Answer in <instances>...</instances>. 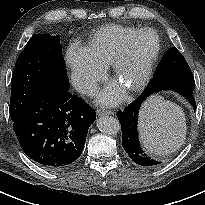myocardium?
<instances>
[{
    "label": "myocardium",
    "instance_id": "1",
    "mask_svg": "<svg viewBox=\"0 0 205 205\" xmlns=\"http://www.w3.org/2000/svg\"><path fill=\"white\" fill-rule=\"evenodd\" d=\"M147 33L153 34L155 36L156 47L154 51L152 52V54L142 64V72L138 80L126 87V90L131 91V92H135V91H139L143 89L150 81L153 67L161 51V41H160L159 35L154 29H151V28H145V29L138 30L135 34H133L128 39L124 49L120 52V54L115 58V60L112 63L113 75H114V78L117 79L120 77L125 63L128 60H130L133 56V47H134L135 42L142 35L147 34Z\"/></svg>",
    "mask_w": 205,
    "mask_h": 205
}]
</instances>
